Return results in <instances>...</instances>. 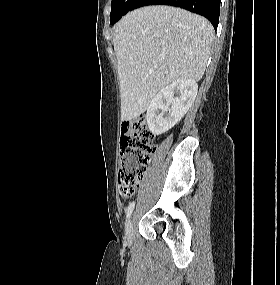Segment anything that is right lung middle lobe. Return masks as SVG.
Returning a JSON list of instances; mask_svg holds the SVG:
<instances>
[{"instance_id":"dd1d6c3e","label":"right lung middle lobe","mask_w":280,"mask_h":285,"mask_svg":"<svg viewBox=\"0 0 280 285\" xmlns=\"http://www.w3.org/2000/svg\"><path fill=\"white\" fill-rule=\"evenodd\" d=\"M136 1L137 0H112L110 23H116L128 11H131Z\"/></svg>"}]
</instances>
